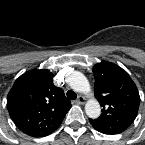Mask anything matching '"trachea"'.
<instances>
[{
	"mask_svg": "<svg viewBox=\"0 0 145 145\" xmlns=\"http://www.w3.org/2000/svg\"><path fill=\"white\" fill-rule=\"evenodd\" d=\"M66 95L69 100H74L77 98V94L72 90L67 91Z\"/></svg>",
	"mask_w": 145,
	"mask_h": 145,
	"instance_id": "1",
	"label": "trachea"
}]
</instances>
